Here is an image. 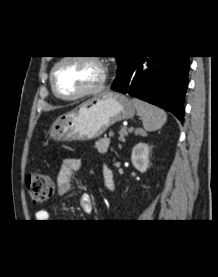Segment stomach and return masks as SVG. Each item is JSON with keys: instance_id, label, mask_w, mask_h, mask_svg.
I'll return each instance as SVG.
<instances>
[{"instance_id": "1", "label": "stomach", "mask_w": 218, "mask_h": 277, "mask_svg": "<svg viewBox=\"0 0 218 277\" xmlns=\"http://www.w3.org/2000/svg\"><path fill=\"white\" fill-rule=\"evenodd\" d=\"M134 115L135 106L128 97L106 91L59 116L50 128V137L56 141L95 139L116 122Z\"/></svg>"}]
</instances>
